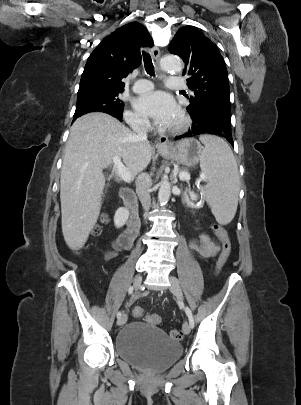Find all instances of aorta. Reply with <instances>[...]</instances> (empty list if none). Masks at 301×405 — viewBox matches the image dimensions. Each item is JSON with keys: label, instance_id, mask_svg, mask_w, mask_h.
Returning <instances> with one entry per match:
<instances>
[{"label": "aorta", "instance_id": "aorta-1", "mask_svg": "<svg viewBox=\"0 0 301 405\" xmlns=\"http://www.w3.org/2000/svg\"><path fill=\"white\" fill-rule=\"evenodd\" d=\"M161 69L166 72L181 73L183 70V64L181 60L174 55H169L161 60ZM171 196V184L167 178H164L160 182V188L158 192V202L161 206L167 204Z\"/></svg>", "mask_w": 301, "mask_h": 405}]
</instances>
